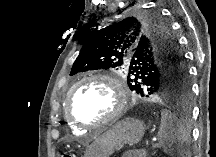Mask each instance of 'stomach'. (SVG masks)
<instances>
[{"label": "stomach", "mask_w": 216, "mask_h": 157, "mask_svg": "<svg viewBox=\"0 0 216 157\" xmlns=\"http://www.w3.org/2000/svg\"><path fill=\"white\" fill-rule=\"evenodd\" d=\"M144 131L145 127L139 120L123 119L100 134L88 147L84 157H110L124 145L140 141Z\"/></svg>", "instance_id": "obj_1"}]
</instances>
